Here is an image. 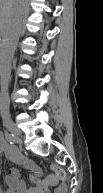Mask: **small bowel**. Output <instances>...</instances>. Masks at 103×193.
<instances>
[{"label": "small bowel", "instance_id": "obj_1", "mask_svg": "<svg viewBox=\"0 0 103 193\" xmlns=\"http://www.w3.org/2000/svg\"><path fill=\"white\" fill-rule=\"evenodd\" d=\"M0 151L6 158L15 164H18L31 172V181L33 185H27L20 178L17 168H10L5 176V186L1 193H66V186L59 183L56 176L42 178V169L40 166L24 157L13 146L9 145L4 137L0 138Z\"/></svg>", "mask_w": 103, "mask_h": 193}]
</instances>
